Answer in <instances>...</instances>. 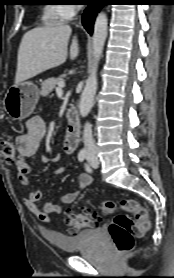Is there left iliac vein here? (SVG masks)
Instances as JSON below:
<instances>
[{"mask_svg": "<svg viewBox=\"0 0 174 278\" xmlns=\"http://www.w3.org/2000/svg\"><path fill=\"white\" fill-rule=\"evenodd\" d=\"M88 162L93 168H97L99 166V160L95 154H92L88 157Z\"/></svg>", "mask_w": 174, "mask_h": 278, "instance_id": "1", "label": "left iliac vein"}]
</instances>
